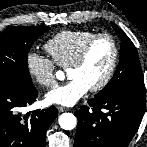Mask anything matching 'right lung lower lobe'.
<instances>
[{
	"mask_svg": "<svg viewBox=\"0 0 147 147\" xmlns=\"http://www.w3.org/2000/svg\"><path fill=\"white\" fill-rule=\"evenodd\" d=\"M37 94L34 86H0V147H45L46 131L57 117V109L51 106L25 116L18 112L19 108L31 105Z\"/></svg>",
	"mask_w": 147,
	"mask_h": 147,
	"instance_id": "obj_1",
	"label": "right lung lower lobe"
}]
</instances>
